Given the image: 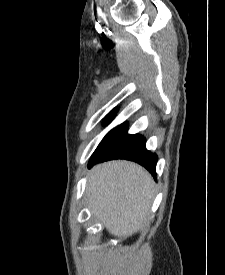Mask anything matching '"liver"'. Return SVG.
<instances>
[{"label": "liver", "mask_w": 225, "mask_h": 275, "mask_svg": "<svg viewBox=\"0 0 225 275\" xmlns=\"http://www.w3.org/2000/svg\"><path fill=\"white\" fill-rule=\"evenodd\" d=\"M155 183L140 165L114 160L96 165L86 187L88 207L108 232L126 237L147 220Z\"/></svg>", "instance_id": "1"}]
</instances>
